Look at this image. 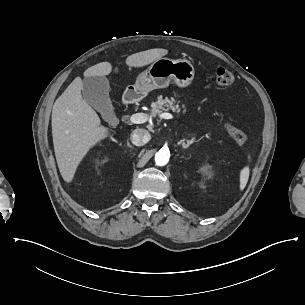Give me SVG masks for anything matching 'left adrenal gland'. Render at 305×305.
<instances>
[{
	"instance_id": "obj_1",
	"label": "left adrenal gland",
	"mask_w": 305,
	"mask_h": 305,
	"mask_svg": "<svg viewBox=\"0 0 305 305\" xmlns=\"http://www.w3.org/2000/svg\"><path fill=\"white\" fill-rule=\"evenodd\" d=\"M195 141L191 140V141H187V143H185V141H182V147L184 149H188Z\"/></svg>"
}]
</instances>
